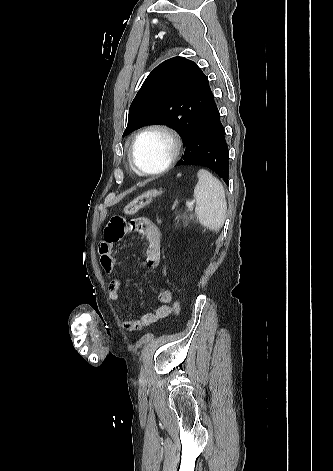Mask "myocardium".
I'll return each mask as SVG.
<instances>
[{
    "instance_id": "myocardium-1",
    "label": "myocardium",
    "mask_w": 333,
    "mask_h": 471,
    "mask_svg": "<svg viewBox=\"0 0 333 471\" xmlns=\"http://www.w3.org/2000/svg\"><path fill=\"white\" fill-rule=\"evenodd\" d=\"M149 132L163 133L164 135H166L168 137V139L170 140V143H171V153H170V156H169L168 160L166 161V163L161 168H159L157 170H153V171H148V170H145L142 167H140L137 164V162L135 160V155H134L135 147H136V144H137L138 140L143 135H145ZM181 147H182L181 138L174 129H172L168 125H165V124H162V123H152V124L146 125L142 129H140L135 134V136L133 137V139L130 143L129 152H128L129 163L134 168V170L137 171L141 175H145V176L158 175V174H161V173H164L165 171H167L175 163V161L177 160V158L180 154Z\"/></svg>"
}]
</instances>
